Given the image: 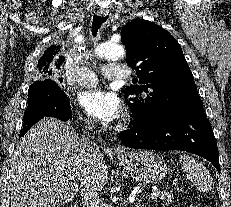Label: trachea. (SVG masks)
Segmentation results:
<instances>
[{"mask_svg": "<svg viewBox=\"0 0 231 207\" xmlns=\"http://www.w3.org/2000/svg\"><path fill=\"white\" fill-rule=\"evenodd\" d=\"M108 19V16H97L95 15L93 17V22H92V34L94 36L97 35L98 30L100 29L101 25Z\"/></svg>", "mask_w": 231, "mask_h": 207, "instance_id": "3493384b", "label": "trachea"}]
</instances>
